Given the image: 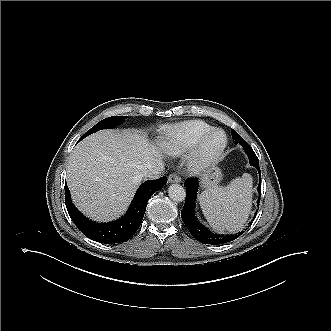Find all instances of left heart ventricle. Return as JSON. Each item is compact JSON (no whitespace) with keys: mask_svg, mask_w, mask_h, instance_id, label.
<instances>
[{"mask_svg":"<svg viewBox=\"0 0 331 331\" xmlns=\"http://www.w3.org/2000/svg\"><path fill=\"white\" fill-rule=\"evenodd\" d=\"M223 137L220 133L215 134L208 142V147L210 150H214L221 145Z\"/></svg>","mask_w":331,"mask_h":331,"instance_id":"b2bd125f","label":"left heart ventricle"}]
</instances>
